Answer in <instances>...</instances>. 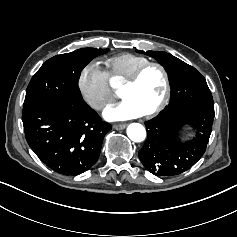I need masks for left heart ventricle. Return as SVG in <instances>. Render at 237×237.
<instances>
[{
    "mask_svg": "<svg viewBox=\"0 0 237 237\" xmlns=\"http://www.w3.org/2000/svg\"><path fill=\"white\" fill-rule=\"evenodd\" d=\"M164 92L165 83L162 72L156 67H151L135 85L122 89L121 98L130 101L145 114L160 103Z\"/></svg>",
    "mask_w": 237,
    "mask_h": 237,
    "instance_id": "left-heart-ventricle-1",
    "label": "left heart ventricle"
}]
</instances>
